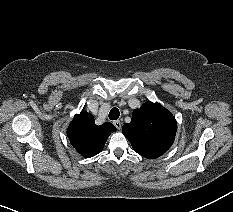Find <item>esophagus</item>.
Wrapping results in <instances>:
<instances>
[{
    "mask_svg": "<svg viewBox=\"0 0 233 212\" xmlns=\"http://www.w3.org/2000/svg\"><path fill=\"white\" fill-rule=\"evenodd\" d=\"M113 124L118 130L122 127V123L119 120L114 121Z\"/></svg>",
    "mask_w": 233,
    "mask_h": 212,
    "instance_id": "esophagus-1",
    "label": "esophagus"
}]
</instances>
